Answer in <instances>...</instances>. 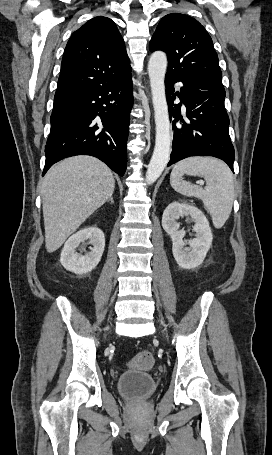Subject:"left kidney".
<instances>
[{"label":"left kidney","mask_w":272,"mask_h":455,"mask_svg":"<svg viewBox=\"0 0 272 455\" xmlns=\"http://www.w3.org/2000/svg\"><path fill=\"white\" fill-rule=\"evenodd\" d=\"M183 216H190L195 222L193 231L196 238L183 241L184 230H179L177 220ZM163 229L172 240V252L177 264L184 269L198 267L204 261L212 244L213 235L206 216L197 207L179 202H172L164 210L162 216ZM189 247L186 248L185 245Z\"/></svg>","instance_id":"left-kidney-1"}]
</instances>
